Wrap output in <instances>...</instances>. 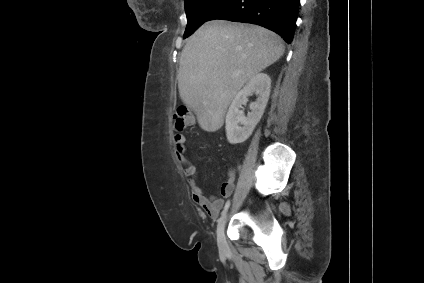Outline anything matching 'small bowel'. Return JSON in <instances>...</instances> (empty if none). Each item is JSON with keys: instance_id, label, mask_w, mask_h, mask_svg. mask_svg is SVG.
Masks as SVG:
<instances>
[{"instance_id": "small-bowel-1", "label": "small bowel", "mask_w": 424, "mask_h": 283, "mask_svg": "<svg viewBox=\"0 0 424 283\" xmlns=\"http://www.w3.org/2000/svg\"><path fill=\"white\" fill-rule=\"evenodd\" d=\"M185 137L182 134H176L174 136L175 143V155L179 162L183 165V171L189 178V184L191 188V194L193 201L196 205L202 208L211 218H217L220 210L224 204V198L231 195L234 189V179L239 172V166L228 167V181L224 182L221 186V197L207 196L204 190L197 183V170L196 167L191 164L185 156Z\"/></svg>"}]
</instances>
